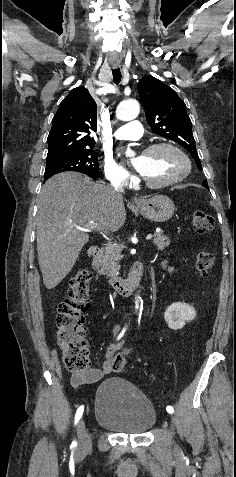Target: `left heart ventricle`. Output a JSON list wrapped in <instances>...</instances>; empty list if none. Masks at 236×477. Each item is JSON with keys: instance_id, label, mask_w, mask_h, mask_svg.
Here are the masks:
<instances>
[{"instance_id": "left-heart-ventricle-1", "label": "left heart ventricle", "mask_w": 236, "mask_h": 477, "mask_svg": "<svg viewBox=\"0 0 236 477\" xmlns=\"http://www.w3.org/2000/svg\"><path fill=\"white\" fill-rule=\"evenodd\" d=\"M138 172L151 182H163L180 175L185 170V161L169 148H160L139 156L136 161Z\"/></svg>"}]
</instances>
